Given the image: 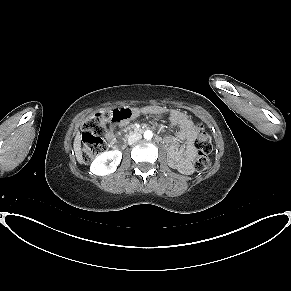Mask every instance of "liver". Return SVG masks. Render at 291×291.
I'll return each mask as SVG.
<instances>
[{
  "label": "liver",
  "mask_w": 291,
  "mask_h": 291,
  "mask_svg": "<svg viewBox=\"0 0 291 291\" xmlns=\"http://www.w3.org/2000/svg\"><path fill=\"white\" fill-rule=\"evenodd\" d=\"M73 148L75 151L76 159L77 161L82 164L83 163V158H82V152H81V136L80 132H77L74 143H73Z\"/></svg>",
  "instance_id": "liver-1"
}]
</instances>
